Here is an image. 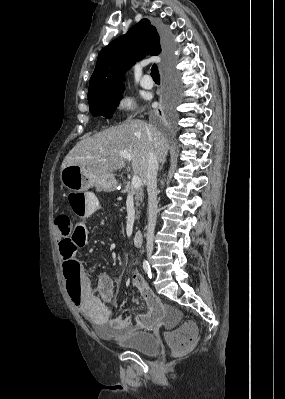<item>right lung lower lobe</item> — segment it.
Instances as JSON below:
<instances>
[{
  "mask_svg": "<svg viewBox=\"0 0 285 399\" xmlns=\"http://www.w3.org/2000/svg\"><path fill=\"white\" fill-rule=\"evenodd\" d=\"M160 34L162 37V41L164 42L165 46H167V32L165 30H160Z\"/></svg>",
  "mask_w": 285,
  "mask_h": 399,
  "instance_id": "right-lung-lower-lobe-1",
  "label": "right lung lower lobe"
}]
</instances>
